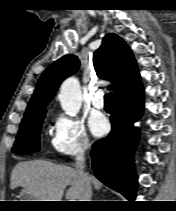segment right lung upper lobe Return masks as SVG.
Returning a JSON list of instances; mask_svg holds the SVG:
<instances>
[{
  "instance_id": "1",
  "label": "right lung upper lobe",
  "mask_w": 176,
  "mask_h": 211,
  "mask_svg": "<svg viewBox=\"0 0 176 211\" xmlns=\"http://www.w3.org/2000/svg\"><path fill=\"white\" fill-rule=\"evenodd\" d=\"M93 63L100 78L113 82L108 88L114 91V99L129 95L142 85L132 51L126 42L114 33L104 37L101 47L94 53ZM78 67L79 59L72 54L52 63L40 77L24 118L46 111L45 107L60 83L74 74Z\"/></svg>"
}]
</instances>
